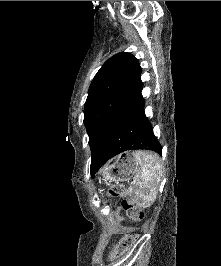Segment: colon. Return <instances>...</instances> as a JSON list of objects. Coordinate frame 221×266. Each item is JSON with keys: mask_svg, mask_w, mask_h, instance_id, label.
I'll return each mask as SVG.
<instances>
[{"mask_svg": "<svg viewBox=\"0 0 221 266\" xmlns=\"http://www.w3.org/2000/svg\"><path fill=\"white\" fill-rule=\"evenodd\" d=\"M124 191V187L121 184H114L109 189V195L113 197L120 196ZM122 207L127 216L134 221H141L143 219L142 210L135 204L132 199L124 198L122 200ZM137 240V234H126L113 248L111 252V258H118L125 254L135 244Z\"/></svg>", "mask_w": 221, "mask_h": 266, "instance_id": "obj_1", "label": "colon"}]
</instances>
